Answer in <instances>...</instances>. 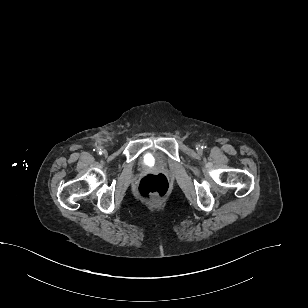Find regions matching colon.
Segmentation results:
<instances>
[{"label": "colon", "mask_w": 308, "mask_h": 308, "mask_svg": "<svg viewBox=\"0 0 308 308\" xmlns=\"http://www.w3.org/2000/svg\"><path fill=\"white\" fill-rule=\"evenodd\" d=\"M169 181L163 174H149L143 177L136 188L137 194L148 202H157L169 192Z\"/></svg>", "instance_id": "obj_1"}]
</instances>
